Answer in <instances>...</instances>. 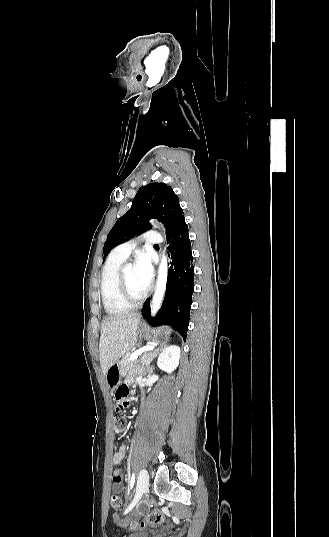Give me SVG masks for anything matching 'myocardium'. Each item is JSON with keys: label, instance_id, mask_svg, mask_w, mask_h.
Here are the masks:
<instances>
[{"label": "myocardium", "instance_id": "myocardium-1", "mask_svg": "<svg viewBox=\"0 0 329 537\" xmlns=\"http://www.w3.org/2000/svg\"><path fill=\"white\" fill-rule=\"evenodd\" d=\"M128 265H124L120 268L118 273V284H119V290L120 294L123 298V300L128 303L131 306H136L141 304L148 296L149 290H146L143 295L140 297H133L127 288V282H126V276H125V270Z\"/></svg>", "mask_w": 329, "mask_h": 537}]
</instances>
